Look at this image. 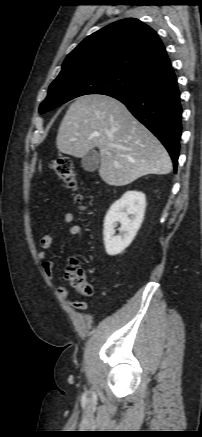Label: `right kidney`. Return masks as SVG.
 I'll list each match as a JSON object with an SVG mask.
<instances>
[{"instance_id":"1","label":"right kidney","mask_w":202,"mask_h":437,"mask_svg":"<svg viewBox=\"0 0 202 437\" xmlns=\"http://www.w3.org/2000/svg\"><path fill=\"white\" fill-rule=\"evenodd\" d=\"M145 194L127 191L108 210L104 220V244L106 253L115 256L123 252L135 238L144 219ZM120 223V235L115 236V227Z\"/></svg>"}]
</instances>
